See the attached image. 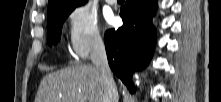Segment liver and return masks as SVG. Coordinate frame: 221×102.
I'll return each instance as SVG.
<instances>
[{"label": "liver", "instance_id": "6515ba94", "mask_svg": "<svg viewBox=\"0 0 221 102\" xmlns=\"http://www.w3.org/2000/svg\"><path fill=\"white\" fill-rule=\"evenodd\" d=\"M104 91L96 66L77 65L46 75L35 102H104Z\"/></svg>", "mask_w": 221, "mask_h": 102}]
</instances>
